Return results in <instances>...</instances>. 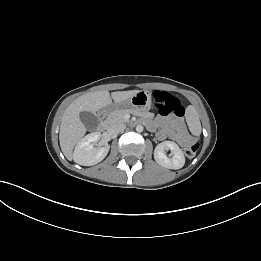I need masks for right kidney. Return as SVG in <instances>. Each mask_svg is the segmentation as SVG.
<instances>
[{"instance_id":"obj_1","label":"right kidney","mask_w":261,"mask_h":261,"mask_svg":"<svg viewBox=\"0 0 261 261\" xmlns=\"http://www.w3.org/2000/svg\"><path fill=\"white\" fill-rule=\"evenodd\" d=\"M101 134L91 133L82 138L76 145L73 152V160L79 165L92 166L101 162L109 152V145L94 147V143L99 141Z\"/></svg>"}]
</instances>
